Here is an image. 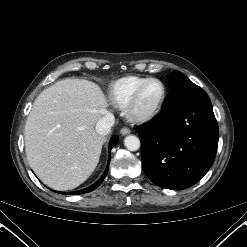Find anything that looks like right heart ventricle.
I'll use <instances>...</instances> for the list:
<instances>
[{
	"label": "right heart ventricle",
	"instance_id": "1",
	"mask_svg": "<svg viewBox=\"0 0 247 247\" xmlns=\"http://www.w3.org/2000/svg\"><path fill=\"white\" fill-rule=\"evenodd\" d=\"M148 77L126 76L112 83L109 90V97L113 105L118 108H125L135 89Z\"/></svg>",
	"mask_w": 247,
	"mask_h": 247
}]
</instances>
